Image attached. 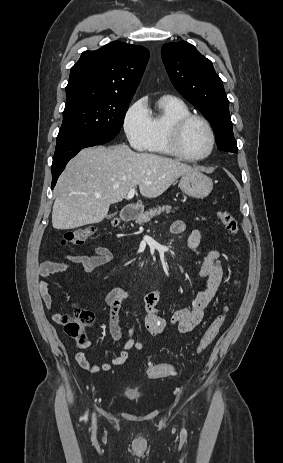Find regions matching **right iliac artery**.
<instances>
[{"label":"right iliac artery","mask_w":283,"mask_h":463,"mask_svg":"<svg viewBox=\"0 0 283 463\" xmlns=\"http://www.w3.org/2000/svg\"><path fill=\"white\" fill-rule=\"evenodd\" d=\"M83 419H84L85 421L87 420V414L84 416V418H83Z\"/></svg>","instance_id":"obj_1"}]
</instances>
